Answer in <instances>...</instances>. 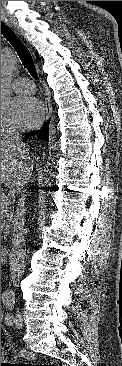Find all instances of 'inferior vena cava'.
I'll return each mask as SVG.
<instances>
[{
  "instance_id": "602c4592",
  "label": "inferior vena cava",
  "mask_w": 122,
  "mask_h": 366,
  "mask_svg": "<svg viewBox=\"0 0 122 366\" xmlns=\"http://www.w3.org/2000/svg\"><path fill=\"white\" fill-rule=\"evenodd\" d=\"M5 138L7 139V143L17 148V150L21 153L22 158H26L28 154V148L21 141V137L18 131L16 130H7L4 133ZM26 184H22L16 187V192L20 194V198L18 199L16 212L14 215V219L12 220V239H11V252H10V271L11 278L15 286H17L16 281L19 280V276H21L24 259L26 256L25 253V234L27 229L25 228V201H26V190L23 187ZM17 272V274H16Z\"/></svg>"
}]
</instances>
